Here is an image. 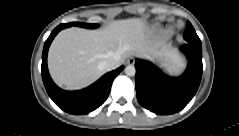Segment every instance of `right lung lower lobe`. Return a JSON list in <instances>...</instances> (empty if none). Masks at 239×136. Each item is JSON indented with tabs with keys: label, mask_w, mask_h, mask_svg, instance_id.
Segmentation results:
<instances>
[{
	"label": "right lung lower lobe",
	"mask_w": 239,
	"mask_h": 136,
	"mask_svg": "<svg viewBox=\"0 0 239 136\" xmlns=\"http://www.w3.org/2000/svg\"><path fill=\"white\" fill-rule=\"evenodd\" d=\"M64 27L63 24L55 28L46 40L42 53L41 73L44 86L50 98L62 110L75 115L88 114L97 109L107 99L114 78L123 70V66L102 76L91 86L79 91H65L57 87L52 81L47 68V53L56 34Z\"/></svg>",
	"instance_id": "obj_1"
}]
</instances>
